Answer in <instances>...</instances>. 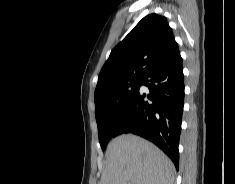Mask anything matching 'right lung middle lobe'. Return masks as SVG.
Here are the masks:
<instances>
[{
  "label": "right lung middle lobe",
  "instance_id": "obj_1",
  "mask_svg": "<svg viewBox=\"0 0 235 184\" xmlns=\"http://www.w3.org/2000/svg\"><path fill=\"white\" fill-rule=\"evenodd\" d=\"M143 80L109 89L107 105L96 107L99 142L105 150L111 138L116 137L117 127L134 97L139 93Z\"/></svg>",
  "mask_w": 235,
  "mask_h": 184
}]
</instances>
